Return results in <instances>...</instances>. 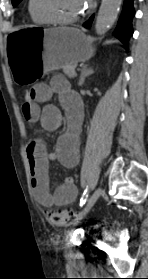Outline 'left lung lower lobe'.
<instances>
[{"instance_id":"0a47b994","label":"left lung lower lobe","mask_w":148,"mask_h":279,"mask_svg":"<svg viewBox=\"0 0 148 279\" xmlns=\"http://www.w3.org/2000/svg\"><path fill=\"white\" fill-rule=\"evenodd\" d=\"M134 14L135 11L133 7V0H124L122 13L113 34L125 44L126 48H128V40L133 34L132 18ZM93 18L94 15L91 16L86 23H84V26L86 28H89L91 26Z\"/></svg>"}]
</instances>
